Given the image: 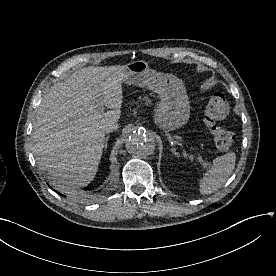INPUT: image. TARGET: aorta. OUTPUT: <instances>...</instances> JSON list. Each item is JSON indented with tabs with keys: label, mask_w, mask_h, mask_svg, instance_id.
I'll list each match as a JSON object with an SVG mask.
<instances>
[{
	"label": "aorta",
	"mask_w": 276,
	"mask_h": 276,
	"mask_svg": "<svg viewBox=\"0 0 276 276\" xmlns=\"http://www.w3.org/2000/svg\"><path fill=\"white\" fill-rule=\"evenodd\" d=\"M126 148L134 157L146 158L155 150V138L143 131H135L128 137Z\"/></svg>",
	"instance_id": "762f6f07"
}]
</instances>
